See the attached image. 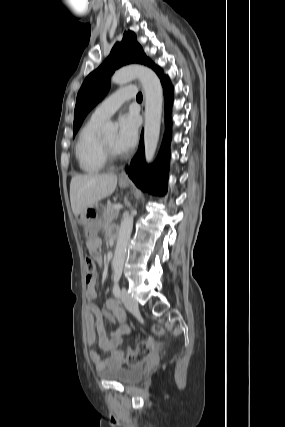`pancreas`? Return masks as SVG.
<instances>
[{
  "instance_id": "pancreas-1",
  "label": "pancreas",
  "mask_w": 285,
  "mask_h": 427,
  "mask_svg": "<svg viewBox=\"0 0 285 427\" xmlns=\"http://www.w3.org/2000/svg\"><path fill=\"white\" fill-rule=\"evenodd\" d=\"M114 205L115 204L113 203L107 204V208L104 213V221H103L104 227L108 226L113 221V219L118 217L119 211L114 209Z\"/></svg>"
}]
</instances>
